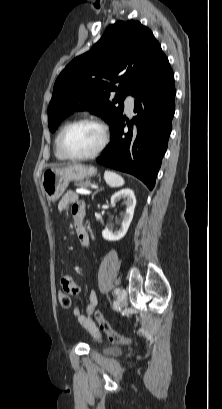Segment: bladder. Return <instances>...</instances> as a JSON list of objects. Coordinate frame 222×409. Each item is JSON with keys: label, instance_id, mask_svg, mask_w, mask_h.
<instances>
[{"label": "bladder", "instance_id": "31cf9c89", "mask_svg": "<svg viewBox=\"0 0 222 409\" xmlns=\"http://www.w3.org/2000/svg\"><path fill=\"white\" fill-rule=\"evenodd\" d=\"M102 352L105 355L117 356L121 354L122 349L114 346H107L103 348Z\"/></svg>", "mask_w": 222, "mask_h": 409}]
</instances>
